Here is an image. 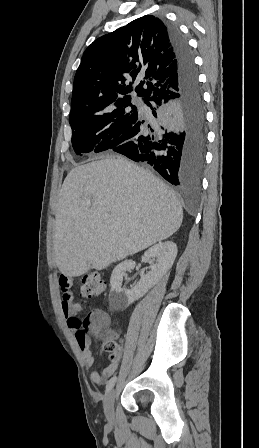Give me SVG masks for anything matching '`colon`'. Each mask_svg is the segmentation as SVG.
Wrapping results in <instances>:
<instances>
[{"label":"colon","instance_id":"colon-1","mask_svg":"<svg viewBox=\"0 0 259 448\" xmlns=\"http://www.w3.org/2000/svg\"><path fill=\"white\" fill-rule=\"evenodd\" d=\"M105 283L101 276L96 272L85 274L81 281L80 294L84 298L100 296L104 293ZM108 325V317L101 311L91 312L81 323V336H86L85 331L95 335H102ZM104 348L112 355L118 354L120 349L116 342L107 338L104 342Z\"/></svg>","mask_w":259,"mask_h":448}]
</instances>
